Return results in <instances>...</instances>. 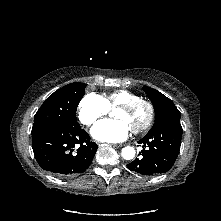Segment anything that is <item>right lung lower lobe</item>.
Returning a JSON list of instances; mask_svg holds the SVG:
<instances>
[{
	"label": "right lung lower lobe",
	"instance_id": "1",
	"mask_svg": "<svg viewBox=\"0 0 221 221\" xmlns=\"http://www.w3.org/2000/svg\"><path fill=\"white\" fill-rule=\"evenodd\" d=\"M32 148L41 168L69 177L90 166L98 146L81 127L54 126L33 135Z\"/></svg>",
	"mask_w": 221,
	"mask_h": 221
}]
</instances>
